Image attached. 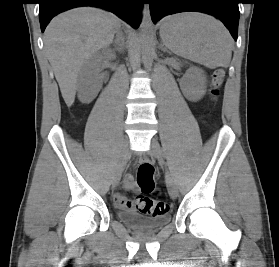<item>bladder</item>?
<instances>
[{
	"mask_svg": "<svg viewBox=\"0 0 279 267\" xmlns=\"http://www.w3.org/2000/svg\"><path fill=\"white\" fill-rule=\"evenodd\" d=\"M118 218L128 227L146 232L159 230L170 220V216L168 214L150 217L132 210L119 212Z\"/></svg>",
	"mask_w": 279,
	"mask_h": 267,
	"instance_id": "bladder-1",
	"label": "bladder"
}]
</instances>
